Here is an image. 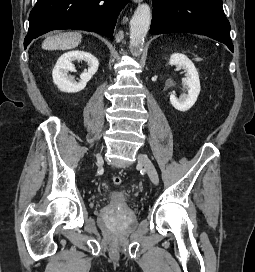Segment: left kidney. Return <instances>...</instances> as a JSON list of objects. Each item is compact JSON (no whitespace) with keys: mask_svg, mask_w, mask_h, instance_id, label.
Here are the masks:
<instances>
[{"mask_svg":"<svg viewBox=\"0 0 255 272\" xmlns=\"http://www.w3.org/2000/svg\"><path fill=\"white\" fill-rule=\"evenodd\" d=\"M169 64L176 65L186 72V79L183 82L187 86L186 89L188 93L179 98H177L174 94L170 95V103L172 106L181 112H185L195 104L200 93L198 71L192 61L180 53L172 54L169 59Z\"/></svg>","mask_w":255,"mask_h":272,"instance_id":"left-kidney-1","label":"left kidney"}]
</instances>
